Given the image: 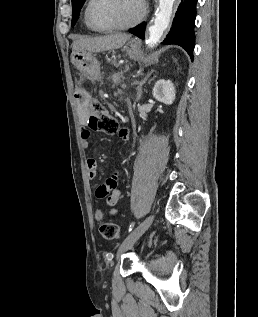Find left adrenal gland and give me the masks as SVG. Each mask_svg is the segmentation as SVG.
I'll use <instances>...</instances> for the list:
<instances>
[{
	"instance_id": "a2214340",
	"label": "left adrenal gland",
	"mask_w": 258,
	"mask_h": 317,
	"mask_svg": "<svg viewBox=\"0 0 258 317\" xmlns=\"http://www.w3.org/2000/svg\"><path fill=\"white\" fill-rule=\"evenodd\" d=\"M152 72H154V70H150V72H147V74H146V76H144L143 80H139V82H137L138 86H137V98H136V100H140L141 94H142V84H144L145 80H147V78H149V76H151Z\"/></svg>"
}]
</instances>
